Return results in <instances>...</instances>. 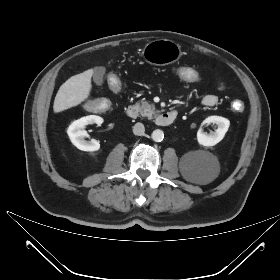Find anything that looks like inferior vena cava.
I'll return each instance as SVG.
<instances>
[{
    "label": "inferior vena cava",
    "mask_w": 280,
    "mask_h": 280,
    "mask_svg": "<svg viewBox=\"0 0 280 280\" xmlns=\"http://www.w3.org/2000/svg\"><path fill=\"white\" fill-rule=\"evenodd\" d=\"M145 132V127L142 123H136L134 126H133V133L137 136H141L143 135Z\"/></svg>",
    "instance_id": "inferior-vena-cava-1"
}]
</instances>
